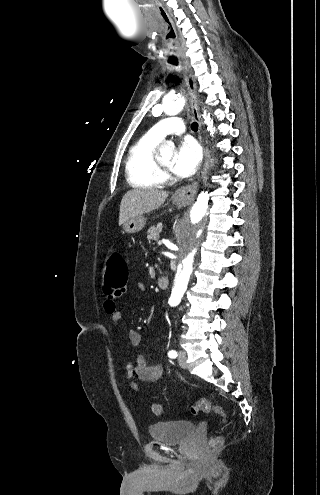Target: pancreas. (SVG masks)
<instances>
[{
  "instance_id": "cf45deb5",
  "label": "pancreas",
  "mask_w": 320,
  "mask_h": 495,
  "mask_svg": "<svg viewBox=\"0 0 320 495\" xmlns=\"http://www.w3.org/2000/svg\"><path fill=\"white\" fill-rule=\"evenodd\" d=\"M162 231V223H159L156 226H152L148 230V240H157Z\"/></svg>"
}]
</instances>
